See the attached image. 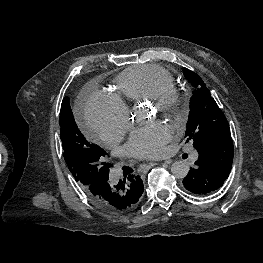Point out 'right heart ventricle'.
<instances>
[{"label":"right heart ventricle","instance_id":"1","mask_svg":"<svg viewBox=\"0 0 263 263\" xmlns=\"http://www.w3.org/2000/svg\"><path fill=\"white\" fill-rule=\"evenodd\" d=\"M166 86L174 87V81L164 68L154 64L131 66L116 77L114 97L128 109L149 100Z\"/></svg>","mask_w":263,"mask_h":263}]
</instances>
